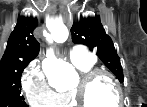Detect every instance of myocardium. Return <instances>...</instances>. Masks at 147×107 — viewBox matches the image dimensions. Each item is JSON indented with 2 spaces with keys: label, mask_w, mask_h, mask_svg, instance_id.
Returning <instances> with one entry per match:
<instances>
[{
  "label": "myocardium",
  "mask_w": 147,
  "mask_h": 107,
  "mask_svg": "<svg viewBox=\"0 0 147 107\" xmlns=\"http://www.w3.org/2000/svg\"><path fill=\"white\" fill-rule=\"evenodd\" d=\"M106 77L108 78L116 88L118 94V105L123 104V92L118 80L108 71L101 69H93L87 73L81 75L80 79L77 82V85L71 90L77 107H90L87 101V91L89 87L99 78Z\"/></svg>",
  "instance_id": "1"
}]
</instances>
